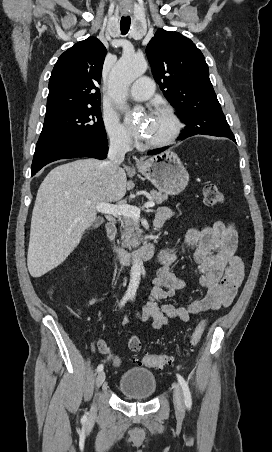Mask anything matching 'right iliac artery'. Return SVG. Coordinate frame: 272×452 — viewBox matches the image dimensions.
<instances>
[{
	"label": "right iliac artery",
	"instance_id": "obj_1",
	"mask_svg": "<svg viewBox=\"0 0 272 452\" xmlns=\"http://www.w3.org/2000/svg\"><path fill=\"white\" fill-rule=\"evenodd\" d=\"M127 300H128V297H126V296L123 297V299L121 300L120 306H123L126 303ZM102 370H103V365L99 364L98 367H97V372H100ZM84 418H86V416H84Z\"/></svg>",
	"mask_w": 272,
	"mask_h": 452
}]
</instances>
